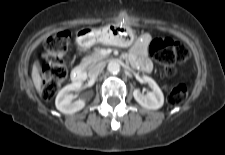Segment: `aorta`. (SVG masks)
I'll list each match as a JSON object with an SVG mask.
<instances>
[{"label": "aorta", "mask_w": 225, "mask_h": 155, "mask_svg": "<svg viewBox=\"0 0 225 155\" xmlns=\"http://www.w3.org/2000/svg\"><path fill=\"white\" fill-rule=\"evenodd\" d=\"M107 70L110 73L116 74L120 71V64L116 60H112L108 63Z\"/></svg>", "instance_id": "obj_1"}]
</instances>
